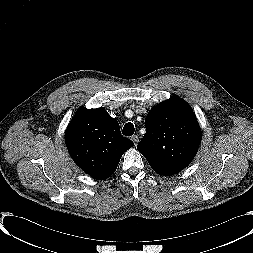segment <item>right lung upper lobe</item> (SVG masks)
<instances>
[{
	"instance_id": "right-lung-upper-lobe-1",
	"label": "right lung upper lobe",
	"mask_w": 253,
	"mask_h": 253,
	"mask_svg": "<svg viewBox=\"0 0 253 253\" xmlns=\"http://www.w3.org/2000/svg\"><path fill=\"white\" fill-rule=\"evenodd\" d=\"M65 142L74 162L98 180L110 177L123 153L134 145L104 108L78 110L66 129Z\"/></svg>"
}]
</instances>
